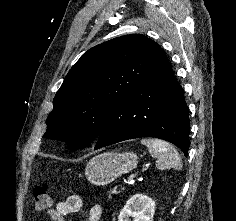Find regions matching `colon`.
Wrapping results in <instances>:
<instances>
[{
  "label": "colon",
  "mask_w": 236,
  "mask_h": 221,
  "mask_svg": "<svg viewBox=\"0 0 236 221\" xmlns=\"http://www.w3.org/2000/svg\"><path fill=\"white\" fill-rule=\"evenodd\" d=\"M50 189V185L46 183L35 187L33 193V207L36 212L43 213L50 208L52 202Z\"/></svg>",
  "instance_id": "colon-1"
}]
</instances>
